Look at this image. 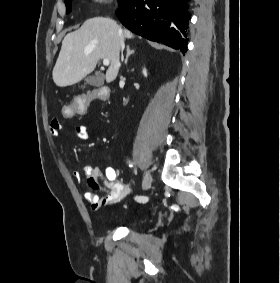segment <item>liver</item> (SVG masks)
<instances>
[{"mask_svg":"<svg viewBox=\"0 0 280 283\" xmlns=\"http://www.w3.org/2000/svg\"><path fill=\"white\" fill-rule=\"evenodd\" d=\"M134 35L122 29L107 17L86 20L76 31L65 36L54 66L52 76L59 87H66L81 81L91 73L100 59H109L106 81H114L120 68V40Z\"/></svg>","mask_w":280,"mask_h":283,"instance_id":"6515ba94","label":"liver"}]
</instances>
